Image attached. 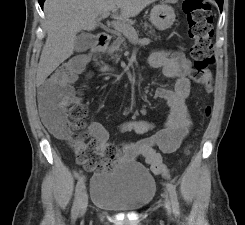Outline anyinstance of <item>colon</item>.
Wrapping results in <instances>:
<instances>
[{
    "instance_id": "5ec220e1",
    "label": "colon",
    "mask_w": 245,
    "mask_h": 225,
    "mask_svg": "<svg viewBox=\"0 0 245 225\" xmlns=\"http://www.w3.org/2000/svg\"><path fill=\"white\" fill-rule=\"evenodd\" d=\"M183 12L187 17L188 31L194 41L191 54L195 62L194 76L199 84L207 90H211L212 80L208 73L213 64L212 36L213 26L210 15V5L205 0H184ZM81 65L77 58H71L63 62L58 70L50 76L43 85V90L62 100L74 99L68 108L69 123H58L54 125L55 133L64 139L70 146L78 149L79 157L86 168L96 170L103 167L100 160V152L96 143H83L80 135L85 126L87 110L83 104L78 102L73 94L71 83L74 79V70ZM209 114L210 109L205 110ZM123 148L111 145L105 151L107 165L123 156ZM154 166L160 175H166V167L155 159Z\"/></svg>"
}]
</instances>
